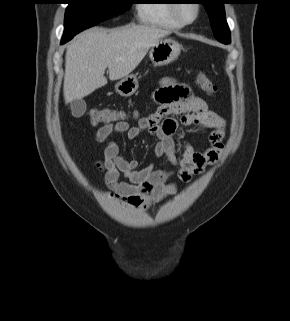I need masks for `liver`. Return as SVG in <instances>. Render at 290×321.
Returning <instances> with one entry per match:
<instances>
[{
    "label": "liver",
    "mask_w": 290,
    "mask_h": 321,
    "mask_svg": "<svg viewBox=\"0 0 290 321\" xmlns=\"http://www.w3.org/2000/svg\"><path fill=\"white\" fill-rule=\"evenodd\" d=\"M169 31L148 25L85 30L67 47L63 94L65 103L82 99L111 81L127 77L148 50Z\"/></svg>",
    "instance_id": "1"
}]
</instances>
